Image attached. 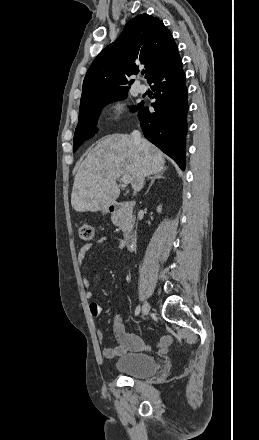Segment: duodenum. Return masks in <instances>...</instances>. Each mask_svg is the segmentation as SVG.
<instances>
[{
  "mask_svg": "<svg viewBox=\"0 0 259 440\" xmlns=\"http://www.w3.org/2000/svg\"><path fill=\"white\" fill-rule=\"evenodd\" d=\"M134 207V203L132 201H127V202H113L109 205L108 207V211L114 215V216H118L122 211H129L132 210ZM125 246L127 248H132L133 244H134V234L132 230H127L124 234L123 237Z\"/></svg>",
  "mask_w": 259,
  "mask_h": 440,
  "instance_id": "1",
  "label": "duodenum"
}]
</instances>
